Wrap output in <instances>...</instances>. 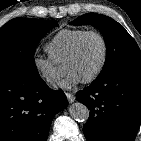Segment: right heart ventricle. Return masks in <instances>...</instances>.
<instances>
[{
    "label": "right heart ventricle",
    "mask_w": 141,
    "mask_h": 141,
    "mask_svg": "<svg viewBox=\"0 0 141 141\" xmlns=\"http://www.w3.org/2000/svg\"><path fill=\"white\" fill-rule=\"evenodd\" d=\"M86 31L80 28L60 30L46 44L45 49L57 64L64 63L76 41Z\"/></svg>",
    "instance_id": "obj_1"
}]
</instances>
